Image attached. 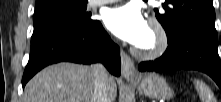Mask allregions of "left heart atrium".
I'll list each match as a JSON object with an SVG mask.
<instances>
[{
	"mask_svg": "<svg viewBox=\"0 0 221 102\" xmlns=\"http://www.w3.org/2000/svg\"><path fill=\"white\" fill-rule=\"evenodd\" d=\"M104 23L114 35L134 45L141 42L148 30V24L141 11L132 5L117 6L108 10Z\"/></svg>",
	"mask_w": 221,
	"mask_h": 102,
	"instance_id": "39dd6f15",
	"label": "left heart atrium"
}]
</instances>
